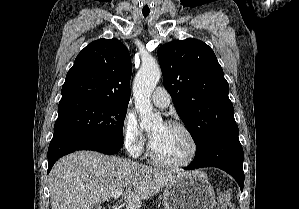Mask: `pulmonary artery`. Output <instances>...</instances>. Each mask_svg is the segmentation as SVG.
Instances as JSON below:
<instances>
[{
  "label": "pulmonary artery",
  "instance_id": "obj_1",
  "mask_svg": "<svg viewBox=\"0 0 299 209\" xmlns=\"http://www.w3.org/2000/svg\"><path fill=\"white\" fill-rule=\"evenodd\" d=\"M152 102L159 108H167L171 97L168 91L163 87H157L151 95Z\"/></svg>",
  "mask_w": 299,
  "mask_h": 209
}]
</instances>
